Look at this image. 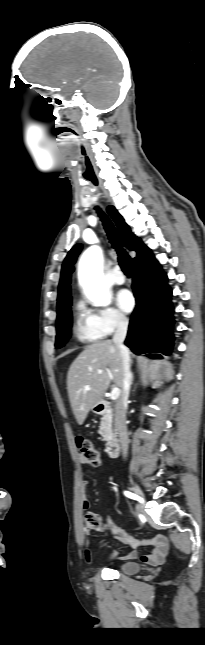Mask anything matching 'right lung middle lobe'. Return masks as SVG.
Returning <instances> with one entry per match:
<instances>
[{
	"label": "right lung middle lobe",
	"instance_id": "1",
	"mask_svg": "<svg viewBox=\"0 0 205 645\" xmlns=\"http://www.w3.org/2000/svg\"><path fill=\"white\" fill-rule=\"evenodd\" d=\"M72 326V316L70 306L64 309L57 316V336H56V348H61L67 338L70 336V329Z\"/></svg>",
	"mask_w": 205,
	"mask_h": 645
}]
</instances>
